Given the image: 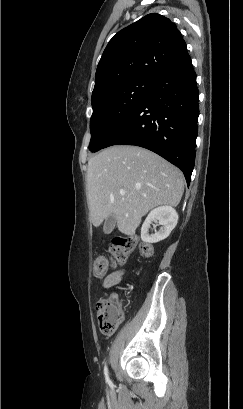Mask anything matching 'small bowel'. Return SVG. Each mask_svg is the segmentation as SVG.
Returning a JSON list of instances; mask_svg holds the SVG:
<instances>
[{
	"label": "small bowel",
	"mask_w": 243,
	"mask_h": 409,
	"mask_svg": "<svg viewBox=\"0 0 243 409\" xmlns=\"http://www.w3.org/2000/svg\"><path fill=\"white\" fill-rule=\"evenodd\" d=\"M125 270L124 269H118L113 272H111L103 281V287L104 288H111L113 286H116L120 284L123 281V278L125 276ZM103 296L109 297V298H115V293L112 292H104Z\"/></svg>",
	"instance_id": "c3829d8e"
}]
</instances>
